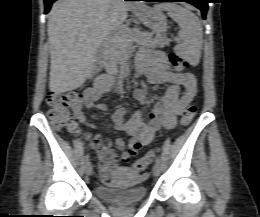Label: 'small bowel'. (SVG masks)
Listing matches in <instances>:
<instances>
[{
  "instance_id": "c3829d8e",
  "label": "small bowel",
  "mask_w": 260,
  "mask_h": 217,
  "mask_svg": "<svg viewBox=\"0 0 260 217\" xmlns=\"http://www.w3.org/2000/svg\"><path fill=\"white\" fill-rule=\"evenodd\" d=\"M146 72L149 80L154 84H167V90L159 101H151L143 88H136L133 92L134 97L141 104H151L152 110L147 119H144L141 112H135L128 120L125 119L126 108L118 107L112 116L113 127L130 136L129 151L116 152L107 150L100 155V176L108 180L109 176L118 168L119 162H127L137 153V151L148 144L154 138V135L161 129H172L177 124L178 115L189 104L196 94V80L191 74H180L171 70L168 66L165 54L158 50H143L137 56V76ZM183 87V91H181ZM109 90L98 89L96 83L85 92L84 104L73 107L74 116L81 123L90 127L95 124L88 123L87 116L84 114L83 105L90 109L105 111L106 106L99 103V98ZM91 118L98 120L96 115ZM115 146L118 150H123L125 143L122 139L115 140Z\"/></svg>"
}]
</instances>
